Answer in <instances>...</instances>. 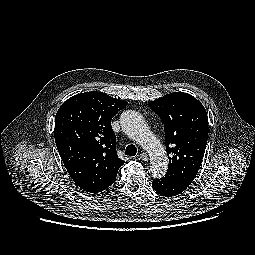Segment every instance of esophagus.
I'll use <instances>...</instances> for the list:
<instances>
[{
    "label": "esophagus",
    "instance_id": "obj_1",
    "mask_svg": "<svg viewBox=\"0 0 255 255\" xmlns=\"http://www.w3.org/2000/svg\"><path fill=\"white\" fill-rule=\"evenodd\" d=\"M139 159L142 160V161H148L149 157H148V154L146 153H141L139 155Z\"/></svg>",
    "mask_w": 255,
    "mask_h": 255
}]
</instances>
